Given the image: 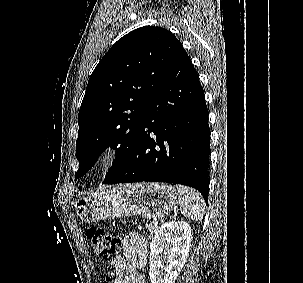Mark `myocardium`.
<instances>
[{"mask_svg": "<svg viewBox=\"0 0 303 283\" xmlns=\"http://www.w3.org/2000/svg\"><path fill=\"white\" fill-rule=\"evenodd\" d=\"M119 157V148L113 144H107L97 153L94 165L99 170H106L112 167Z\"/></svg>", "mask_w": 303, "mask_h": 283, "instance_id": "1", "label": "myocardium"}]
</instances>
